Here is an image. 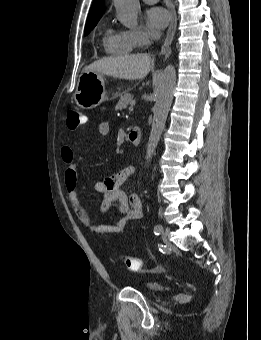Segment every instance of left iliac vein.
Returning <instances> with one entry per match:
<instances>
[{
    "instance_id": "obj_1",
    "label": "left iliac vein",
    "mask_w": 261,
    "mask_h": 340,
    "mask_svg": "<svg viewBox=\"0 0 261 340\" xmlns=\"http://www.w3.org/2000/svg\"><path fill=\"white\" fill-rule=\"evenodd\" d=\"M170 234V229L168 227L164 228L162 231H161V236L162 238L165 240L167 239V237L169 236Z\"/></svg>"
}]
</instances>
